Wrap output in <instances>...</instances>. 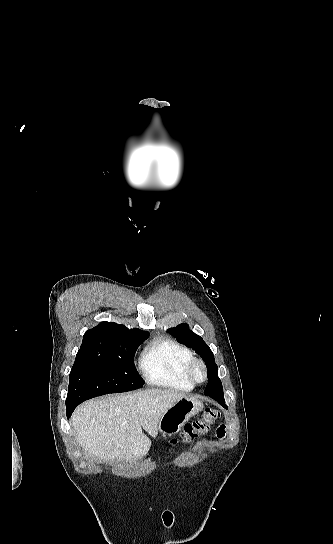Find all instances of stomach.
Segmentation results:
<instances>
[{"instance_id":"stomach-1","label":"stomach","mask_w":333,"mask_h":544,"mask_svg":"<svg viewBox=\"0 0 333 544\" xmlns=\"http://www.w3.org/2000/svg\"><path fill=\"white\" fill-rule=\"evenodd\" d=\"M203 408V403L194 398L184 397L175 402L159 421L157 431L164 436L178 433L185 423Z\"/></svg>"}]
</instances>
